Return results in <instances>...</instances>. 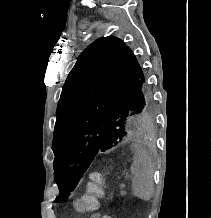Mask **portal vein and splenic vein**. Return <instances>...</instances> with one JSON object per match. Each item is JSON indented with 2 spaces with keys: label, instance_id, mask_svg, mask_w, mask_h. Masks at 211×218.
Here are the masks:
<instances>
[{
  "label": "portal vein and splenic vein",
  "instance_id": "1",
  "mask_svg": "<svg viewBox=\"0 0 211 218\" xmlns=\"http://www.w3.org/2000/svg\"><path fill=\"white\" fill-rule=\"evenodd\" d=\"M129 173H130L129 171H126L124 174H125V175H128Z\"/></svg>",
  "mask_w": 211,
  "mask_h": 218
}]
</instances>
